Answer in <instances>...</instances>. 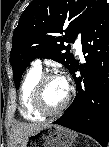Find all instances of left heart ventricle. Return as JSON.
Returning <instances> with one entry per match:
<instances>
[{
    "label": "left heart ventricle",
    "instance_id": "b2bd125f",
    "mask_svg": "<svg viewBox=\"0 0 109 147\" xmlns=\"http://www.w3.org/2000/svg\"><path fill=\"white\" fill-rule=\"evenodd\" d=\"M67 87L61 78L49 80L43 88V100L48 109L59 107L65 100Z\"/></svg>",
    "mask_w": 109,
    "mask_h": 147
}]
</instances>
